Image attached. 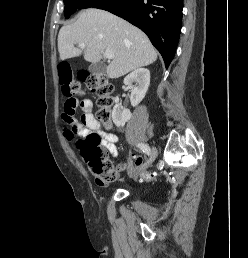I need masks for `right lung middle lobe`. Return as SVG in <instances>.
I'll use <instances>...</instances> for the list:
<instances>
[{"instance_id": "1", "label": "right lung middle lobe", "mask_w": 248, "mask_h": 258, "mask_svg": "<svg viewBox=\"0 0 248 258\" xmlns=\"http://www.w3.org/2000/svg\"><path fill=\"white\" fill-rule=\"evenodd\" d=\"M65 4V18H69L77 9L95 7L107 0H63Z\"/></svg>"}]
</instances>
